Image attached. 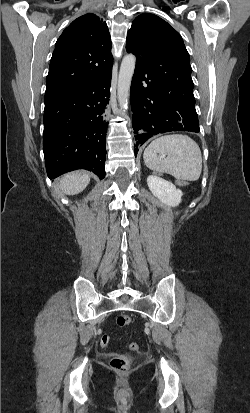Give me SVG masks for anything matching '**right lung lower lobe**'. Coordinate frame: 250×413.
I'll return each mask as SVG.
<instances>
[{"mask_svg":"<svg viewBox=\"0 0 250 413\" xmlns=\"http://www.w3.org/2000/svg\"><path fill=\"white\" fill-rule=\"evenodd\" d=\"M111 70L88 84L45 94L43 150L48 177L76 170L105 177Z\"/></svg>","mask_w":250,"mask_h":413,"instance_id":"98d812e1","label":"right lung lower lobe"}]
</instances>
